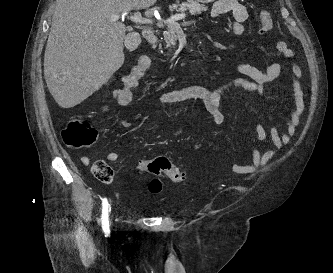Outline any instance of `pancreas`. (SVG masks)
<instances>
[{
	"label": "pancreas",
	"instance_id": "1",
	"mask_svg": "<svg viewBox=\"0 0 333 273\" xmlns=\"http://www.w3.org/2000/svg\"><path fill=\"white\" fill-rule=\"evenodd\" d=\"M173 9L176 12L182 13L186 10H189L192 15H196L200 14L202 11H205L207 8L194 0H187V2L183 4L174 5ZM180 32L181 28L177 22H167V31L163 33L164 40L167 43V48H171L176 45V41Z\"/></svg>",
	"mask_w": 333,
	"mask_h": 273
}]
</instances>
